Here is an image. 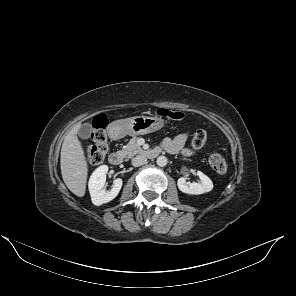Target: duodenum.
<instances>
[{
  "mask_svg": "<svg viewBox=\"0 0 296 296\" xmlns=\"http://www.w3.org/2000/svg\"><path fill=\"white\" fill-rule=\"evenodd\" d=\"M109 134H110L111 138L116 139V138H118L120 132L115 129H111ZM159 153H160L159 148H153V149L148 150L146 152V155L149 158H155L159 155ZM122 161H123V154L119 151L112 152L109 155V162L114 166L120 165L122 163Z\"/></svg>",
  "mask_w": 296,
  "mask_h": 296,
  "instance_id": "duodenum-1",
  "label": "duodenum"
}]
</instances>
